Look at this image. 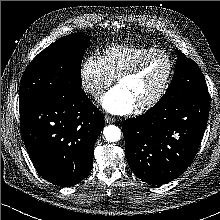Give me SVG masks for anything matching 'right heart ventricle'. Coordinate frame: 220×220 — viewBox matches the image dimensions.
Listing matches in <instances>:
<instances>
[{
    "mask_svg": "<svg viewBox=\"0 0 220 220\" xmlns=\"http://www.w3.org/2000/svg\"><path fill=\"white\" fill-rule=\"evenodd\" d=\"M155 49L143 44H116L103 49L101 60L112 78H116L144 53Z\"/></svg>",
    "mask_w": 220,
    "mask_h": 220,
    "instance_id": "1",
    "label": "right heart ventricle"
}]
</instances>
